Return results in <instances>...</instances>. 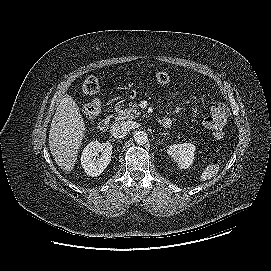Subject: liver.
<instances>
[{"label":"liver","mask_w":271,"mask_h":271,"mask_svg":"<svg viewBox=\"0 0 271 271\" xmlns=\"http://www.w3.org/2000/svg\"><path fill=\"white\" fill-rule=\"evenodd\" d=\"M85 137V123L73 98L65 94L54 114L49 130V148L56 164L70 173Z\"/></svg>","instance_id":"1"}]
</instances>
